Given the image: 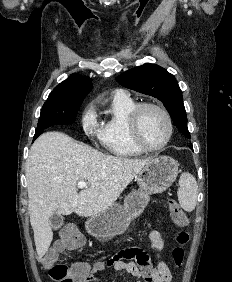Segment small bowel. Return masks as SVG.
Segmentation results:
<instances>
[{"mask_svg": "<svg viewBox=\"0 0 232 282\" xmlns=\"http://www.w3.org/2000/svg\"><path fill=\"white\" fill-rule=\"evenodd\" d=\"M148 242L156 250L157 264L153 266L149 256L140 248L121 250L105 262L96 264V270L112 268L135 279V282H172V274L166 262L165 243L161 233L154 229L148 235ZM135 251L138 253L135 254ZM124 259L130 261H124ZM134 260V261H131ZM93 274L87 282H95ZM128 282V281H127Z\"/></svg>", "mask_w": 232, "mask_h": 282, "instance_id": "1", "label": "small bowel"}]
</instances>
